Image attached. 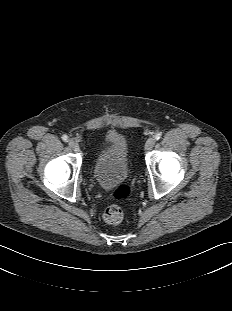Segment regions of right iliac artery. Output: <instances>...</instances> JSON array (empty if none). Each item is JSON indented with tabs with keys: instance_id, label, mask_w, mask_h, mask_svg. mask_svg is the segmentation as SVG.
Instances as JSON below:
<instances>
[{
	"instance_id": "right-iliac-artery-1",
	"label": "right iliac artery",
	"mask_w": 232,
	"mask_h": 311,
	"mask_svg": "<svg viewBox=\"0 0 232 311\" xmlns=\"http://www.w3.org/2000/svg\"><path fill=\"white\" fill-rule=\"evenodd\" d=\"M62 140L65 141V142H68V140H69V139H68V136H67V135H63V136H62Z\"/></svg>"
}]
</instances>
